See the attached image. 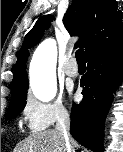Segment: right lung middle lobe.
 <instances>
[{
	"instance_id": "obj_1",
	"label": "right lung middle lobe",
	"mask_w": 123,
	"mask_h": 152,
	"mask_svg": "<svg viewBox=\"0 0 123 152\" xmlns=\"http://www.w3.org/2000/svg\"><path fill=\"white\" fill-rule=\"evenodd\" d=\"M27 89L28 86L12 93L11 102L8 108V112L6 114L7 120L16 117L19 113L23 111L26 105Z\"/></svg>"
}]
</instances>
